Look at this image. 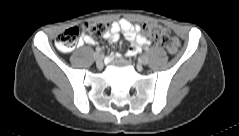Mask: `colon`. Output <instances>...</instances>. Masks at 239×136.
<instances>
[{"label": "colon", "instance_id": "obj_1", "mask_svg": "<svg viewBox=\"0 0 239 136\" xmlns=\"http://www.w3.org/2000/svg\"><path fill=\"white\" fill-rule=\"evenodd\" d=\"M143 28L152 41L161 44L168 53L176 54L179 51V40L167 35L166 29L162 25L148 23ZM108 29L109 25L105 22H89L84 24L82 29L72 27L57 36L56 46L61 51H70L78 44L82 31L93 37H101L106 34Z\"/></svg>", "mask_w": 239, "mask_h": 136}]
</instances>
